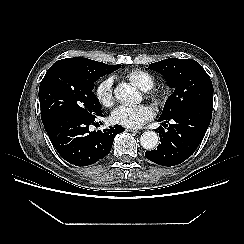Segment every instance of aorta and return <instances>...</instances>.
I'll return each mask as SVG.
<instances>
[{
  "label": "aorta",
  "instance_id": "aorta-1",
  "mask_svg": "<svg viewBox=\"0 0 244 244\" xmlns=\"http://www.w3.org/2000/svg\"><path fill=\"white\" fill-rule=\"evenodd\" d=\"M115 98L122 103L137 104L141 101L140 93L127 83H120L114 89ZM159 137L154 131H145L141 134L140 144L144 149L153 150L157 147Z\"/></svg>",
  "mask_w": 244,
  "mask_h": 244
}]
</instances>
